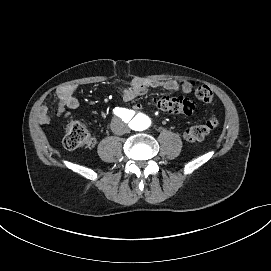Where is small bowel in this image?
Segmentation results:
<instances>
[{
    "label": "small bowel",
    "mask_w": 271,
    "mask_h": 271,
    "mask_svg": "<svg viewBox=\"0 0 271 271\" xmlns=\"http://www.w3.org/2000/svg\"><path fill=\"white\" fill-rule=\"evenodd\" d=\"M160 87L168 91H178L183 94H189L196 91L198 85L194 81L190 80H148L136 78L131 81L129 86L122 90V99L124 101H130L136 97L146 93L151 88ZM79 90L77 85H65L56 90L58 98L57 114L60 118H67L72 111L79 109V101L76 94ZM140 105L136 104L134 108L140 109ZM38 121L43 125L51 123V117L46 105H42L38 111Z\"/></svg>",
    "instance_id": "c3829d8e"
}]
</instances>
